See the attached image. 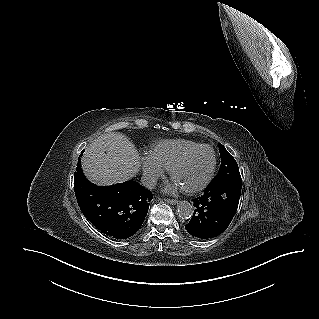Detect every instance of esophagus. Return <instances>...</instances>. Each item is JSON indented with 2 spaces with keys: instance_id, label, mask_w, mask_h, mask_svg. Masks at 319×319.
<instances>
[{
  "instance_id": "34e87169",
  "label": "esophagus",
  "mask_w": 319,
  "mask_h": 319,
  "mask_svg": "<svg viewBox=\"0 0 319 319\" xmlns=\"http://www.w3.org/2000/svg\"><path fill=\"white\" fill-rule=\"evenodd\" d=\"M165 201H166L167 203H169V204H172V205H175V204L178 203V201L175 200V199H165Z\"/></svg>"
}]
</instances>
